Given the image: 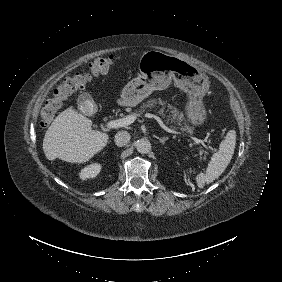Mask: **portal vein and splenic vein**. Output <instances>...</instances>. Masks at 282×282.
<instances>
[{
  "label": "portal vein and splenic vein",
  "instance_id": "portal-vein-and-splenic-vein-1",
  "mask_svg": "<svg viewBox=\"0 0 282 282\" xmlns=\"http://www.w3.org/2000/svg\"><path fill=\"white\" fill-rule=\"evenodd\" d=\"M144 116L149 117L152 122L159 123L162 129H164L165 131H167L169 133H172L174 136L187 137L188 139H191L194 144H197V146L204 145L205 148H207L209 151H211V155H214L215 147L213 145L209 144L207 141H205L204 137H203V140H200L198 138L191 137L189 134L179 133L178 131H175L172 127H169L166 123H164L162 118L154 117L153 113H150V114L145 113ZM138 118H139V115L137 113L129 114L128 116H126L122 119H118V120L110 122L108 125H109L110 128L125 127V126H128V125L134 123Z\"/></svg>",
  "mask_w": 282,
  "mask_h": 282
}]
</instances>
